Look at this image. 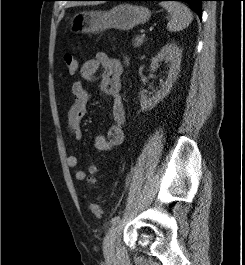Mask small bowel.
Listing matches in <instances>:
<instances>
[{
    "instance_id": "small-bowel-1",
    "label": "small bowel",
    "mask_w": 245,
    "mask_h": 265,
    "mask_svg": "<svg viewBox=\"0 0 245 265\" xmlns=\"http://www.w3.org/2000/svg\"><path fill=\"white\" fill-rule=\"evenodd\" d=\"M102 68L100 86L102 91L112 100L113 123L106 135H97L94 138V147L99 151H110L120 146L124 141V125L126 121L125 108L121 98V76L123 65L117 58H112L104 52H98L88 59L80 68V77L84 82H94L98 79L97 72ZM82 81H75L71 87L74 98L67 112V129L75 140L82 138L81 122L87 113L90 93L84 88ZM70 168L78 166L75 155L67 157ZM75 178L79 181L86 179L85 171L78 169Z\"/></svg>"
}]
</instances>
